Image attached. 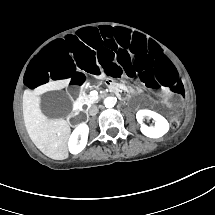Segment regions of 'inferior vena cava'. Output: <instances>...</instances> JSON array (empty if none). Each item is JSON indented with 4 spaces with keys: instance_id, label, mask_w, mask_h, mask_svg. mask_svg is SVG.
<instances>
[{
    "instance_id": "1",
    "label": "inferior vena cava",
    "mask_w": 215,
    "mask_h": 215,
    "mask_svg": "<svg viewBox=\"0 0 215 215\" xmlns=\"http://www.w3.org/2000/svg\"><path fill=\"white\" fill-rule=\"evenodd\" d=\"M98 113V107L96 105H92L89 107V114L94 116Z\"/></svg>"
}]
</instances>
